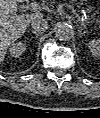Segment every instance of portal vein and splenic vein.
<instances>
[{
	"mask_svg": "<svg viewBox=\"0 0 100 118\" xmlns=\"http://www.w3.org/2000/svg\"><path fill=\"white\" fill-rule=\"evenodd\" d=\"M27 8L36 13H39L42 10V7L37 3H30L27 5Z\"/></svg>",
	"mask_w": 100,
	"mask_h": 118,
	"instance_id": "18ae733b",
	"label": "portal vein and splenic vein"
}]
</instances>
